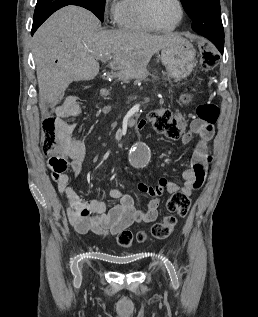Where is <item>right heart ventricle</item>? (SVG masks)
I'll return each instance as SVG.
<instances>
[{"label":"right heart ventricle","instance_id":"obj_1","mask_svg":"<svg viewBox=\"0 0 258 317\" xmlns=\"http://www.w3.org/2000/svg\"><path fill=\"white\" fill-rule=\"evenodd\" d=\"M148 0H117L116 23L120 29L137 33H151L143 16Z\"/></svg>","mask_w":258,"mask_h":317}]
</instances>
